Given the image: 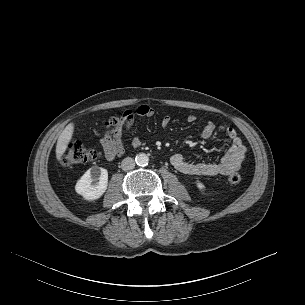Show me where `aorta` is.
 <instances>
[{"label": "aorta", "instance_id": "obj_1", "mask_svg": "<svg viewBox=\"0 0 305 305\" xmlns=\"http://www.w3.org/2000/svg\"><path fill=\"white\" fill-rule=\"evenodd\" d=\"M135 162L138 166H146L149 162V157L145 153H139L135 157Z\"/></svg>", "mask_w": 305, "mask_h": 305}]
</instances>
